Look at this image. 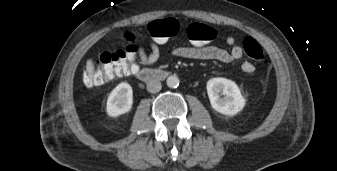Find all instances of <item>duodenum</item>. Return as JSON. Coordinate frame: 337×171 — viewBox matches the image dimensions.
I'll use <instances>...</instances> for the list:
<instances>
[{
  "instance_id": "1",
  "label": "duodenum",
  "mask_w": 337,
  "mask_h": 171,
  "mask_svg": "<svg viewBox=\"0 0 337 171\" xmlns=\"http://www.w3.org/2000/svg\"><path fill=\"white\" fill-rule=\"evenodd\" d=\"M168 73L165 70L161 69H145L137 73V77L141 81H153V80H164L167 77Z\"/></svg>"
}]
</instances>
